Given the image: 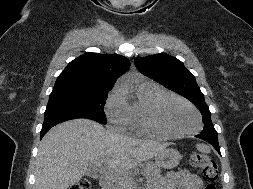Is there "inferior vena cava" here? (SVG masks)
Masks as SVG:
<instances>
[{
  "label": "inferior vena cava",
  "mask_w": 253,
  "mask_h": 189,
  "mask_svg": "<svg viewBox=\"0 0 253 189\" xmlns=\"http://www.w3.org/2000/svg\"><path fill=\"white\" fill-rule=\"evenodd\" d=\"M126 183L128 184V182H126ZM122 188H123L122 185H119V186H116V187L113 185L112 189H122ZM127 188H128V185H127Z\"/></svg>",
  "instance_id": "obj_1"
}]
</instances>
